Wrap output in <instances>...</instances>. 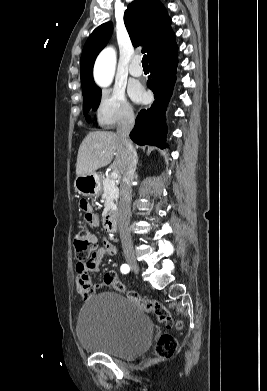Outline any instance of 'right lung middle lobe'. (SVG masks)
Instances as JSON below:
<instances>
[{
    "mask_svg": "<svg viewBox=\"0 0 267 391\" xmlns=\"http://www.w3.org/2000/svg\"><path fill=\"white\" fill-rule=\"evenodd\" d=\"M83 98H84V114H86L91 108L93 110H96L99 106L100 99H101V89L96 87L92 90L83 92ZM87 121H89V117H86Z\"/></svg>",
    "mask_w": 267,
    "mask_h": 391,
    "instance_id": "obj_1",
    "label": "right lung middle lobe"
}]
</instances>
